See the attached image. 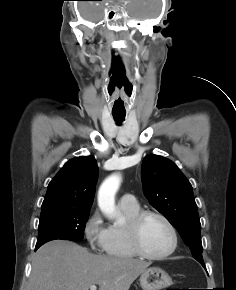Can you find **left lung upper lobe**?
I'll use <instances>...</instances> for the list:
<instances>
[{
	"label": "left lung upper lobe",
	"mask_w": 236,
	"mask_h": 290,
	"mask_svg": "<svg viewBox=\"0 0 236 290\" xmlns=\"http://www.w3.org/2000/svg\"><path fill=\"white\" fill-rule=\"evenodd\" d=\"M142 184L150 204L177 229L196 260L204 263L201 224L192 186L176 164L159 155L145 157Z\"/></svg>",
	"instance_id": "5c2ea615"
}]
</instances>
